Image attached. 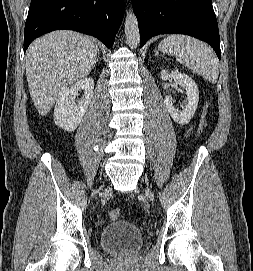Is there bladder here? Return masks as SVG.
<instances>
[{"label":"bladder","mask_w":253,"mask_h":271,"mask_svg":"<svg viewBox=\"0 0 253 271\" xmlns=\"http://www.w3.org/2000/svg\"><path fill=\"white\" fill-rule=\"evenodd\" d=\"M101 248L114 255L134 254L143 244L144 237L139 227L126 220L113 221L105 225L98 236Z\"/></svg>","instance_id":"1"}]
</instances>
